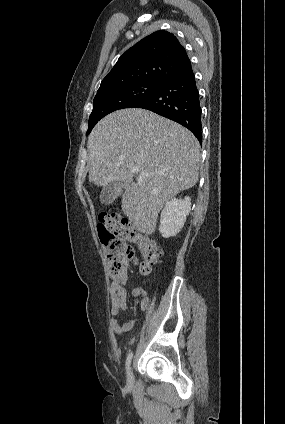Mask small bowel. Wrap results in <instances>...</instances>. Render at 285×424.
Listing matches in <instances>:
<instances>
[{
  "label": "small bowel",
  "instance_id": "obj_1",
  "mask_svg": "<svg viewBox=\"0 0 285 424\" xmlns=\"http://www.w3.org/2000/svg\"><path fill=\"white\" fill-rule=\"evenodd\" d=\"M127 283L128 275L126 269H124L111 284V314L113 316L123 315L128 311ZM133 296L135 297V305H139L143 310L148 308L150 300L145 289L140 287L135 288L133 290ZM133 325L134 318H129L122 325H119L116 321H112V328L117 337H120L122 334L129 332Z\"/></svg>",
  "mask_w": 285,
  "mask_h": 424
}]
</instances>
